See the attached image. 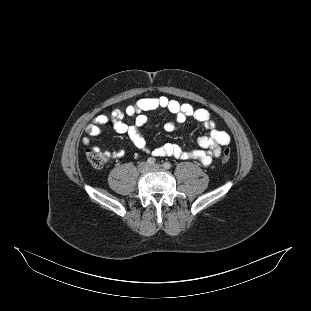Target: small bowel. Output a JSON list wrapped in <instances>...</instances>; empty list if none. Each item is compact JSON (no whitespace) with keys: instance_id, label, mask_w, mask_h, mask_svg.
I'll use <instances>...</instances> for the list:
<instances>
[{"instance_id":"small-bowel-1","label":"small bowel","mask_w":311,"mask_h":311,"mask_svg":"<svg viewBox=\"0 0 311 311\" xmlns=\"http://www.w3.org/2000/svg\"><path fill=\"white\" fill-rule=\"evenodd\" d=\"M156 109H165L173 115V119L164 124V130L167 132L174 131L178 123H183L189 118L201 123L208 132L198 138L200 149L185 151L179 145L172 143H166L152 149L144 138L141 129L147 123V116L144 113ZM129 118H134L133 124L126 122ZM109 123L113 125L116 132L127 135L134 146L145 154L156 157L197 160L203 165H210L215 158L220 156L221 147L230 142L229 134L216 127L207 110L194 108L190 104L180 103L165 96L143 98L125 109L116 108L109 114L95 116L85 128L86 136L82 139L83 144L89 149L101 151L98 146L91 143L90 138L99 136L102 133V126ZM104 152L108 157H122L124 155L123 151Z\"/></svg>"}]
</instances>
